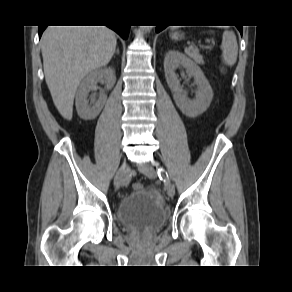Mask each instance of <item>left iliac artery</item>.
I'll return each mask as SVG.
<instances>
[{
  "label": "left iliac artery",
  "mask_w": 292,
  "mask_h": 292,
  "mask_svg": "<svg viewBox=\"0 0 292 292\" xmlns=\"http://www.w3.org/2000/svg\"><path fill=\"white\" fill-rule=\"evenodd\" d=\"M157 173L159 178L164 182L165 188H167L168 185L170 184V179L167 171L163 167H159L157 169Z\"/></svg>",
  "instance_id": "1"
}]
</instances>
